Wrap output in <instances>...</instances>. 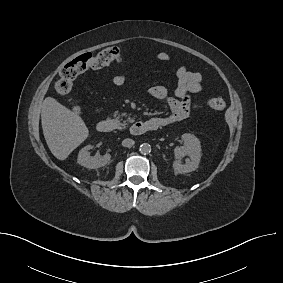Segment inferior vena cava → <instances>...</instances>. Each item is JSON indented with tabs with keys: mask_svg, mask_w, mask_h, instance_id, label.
<instances>
[{
	"mask_svg": "<svg viewBox=\"0 0 283 283\" xmlns=\"http://www.w3.org/2000/svg\"><path fill=\"white\" fill-rule=\"evenodd\" d=\"M134 143V140L127 138L122 141V146L130 148L134 145Z\"/></svg>",
	"mask_w": 283,
	"mask_h": 283,
	"instance_id": "inferior-vena-cava-1",
	"label": "inferior vena cava"
}]
</instances>
